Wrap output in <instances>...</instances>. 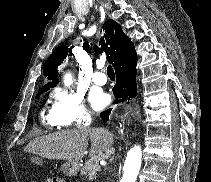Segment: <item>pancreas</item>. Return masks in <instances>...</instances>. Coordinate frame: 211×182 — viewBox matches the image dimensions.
Wrapping results in <instances>:
<instances>
[{
    "mask_svg": "<svg viewBox=\"0 0 211 182\" xmlns=\"http://www.w3.org/2000/svg\"><path fill=\"white\" fill-rule=\"evenodd\" d=\"M105 157L106 155L101 153L88 159L81 168V175L87 176L89 180L95 179L96 171L100 170L99 162L100 160L105 159Z\"/></svg>",
    "mask_w": 211,
    "mask_h": 182,
    "instance_id": "1",
    "label": "pancreas"
}]
</instances>
